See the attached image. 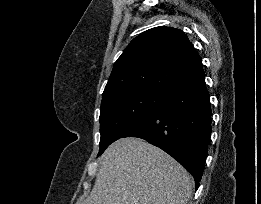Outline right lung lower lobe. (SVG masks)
Returning <instances> with one entry per match:
<instances>
[{
  "label": "right lung lower lobe",
  "mask_w": 261,
  "mask_h": 204,
  "mask_svg": "<svg viewBox=\"0 0 261 204\" xmlns=\"http://www.w3.org/2000/svg\"><path fill=\"white\" fill-rule=\"evenodd\" d=\"M211 105L203 68L170 88L163 99L120 138L138 137L176 159L199 187L211 133Z\"/></svg>",
  "instance_id": "1"
}]
</instances>
